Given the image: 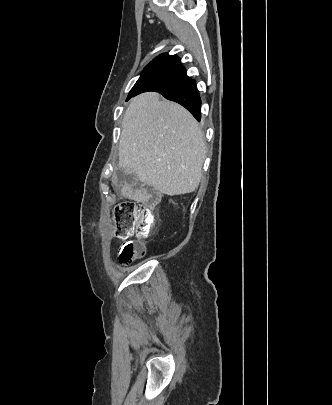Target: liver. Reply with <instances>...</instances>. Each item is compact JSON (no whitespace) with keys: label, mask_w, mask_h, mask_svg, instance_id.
Segmentation results:
<instances>
[{"label":"liver","mask_w":332,"mask_h":405,"mask_svg":"<svg viewBox=\"0 0 332 405\" xmlns=\"http://www.w3.org/2000/svg\"><path fill=\"white\" fill-rule=\"evenodd\" d=\"M206 157L203 134L194 117L156 92L134 97L125 111L119 167L170 196L193 192Z\"/></svg>","instance_id":"6515ba94"}]
</instances>
